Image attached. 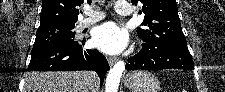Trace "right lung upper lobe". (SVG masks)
<instances>
[{
  "label": "right lung upper lobe",
  "mask_w": 225,
  "mask_h": 92,
  "mask_svg": "<svg viewBox=\"0 0 225 92\" xmlns=\"http://www.w3.org/2000/svg\"><path fill=\"white\" fill-rule=\"evenodd\" d=\"M90 3L91 0H88ZM84 0H42L40 25L51 23L75 24L79 12L78 7Z\"/></svg>",
  "instance_id": "cb5924a9"
}]
</instances>
